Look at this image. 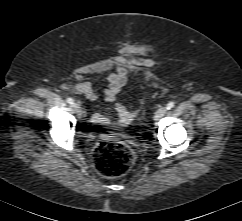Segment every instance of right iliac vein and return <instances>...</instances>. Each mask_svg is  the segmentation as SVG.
I'll return each instance as SVG.
<instances>
[{"mask_svg":"<svg viewBox=\"0 0 242 221\" xmlns=\"http://www.w3.org/2000/svg\"><path fill=\"white\" fill-rule=\"evenodd\" d=\"M73 108H74V110H75V112L77 113L78 116L81 115V108H80V105L78 103H75L73 105Z\"/></svg>","mask_w":242,"mask_h":221,"instance_id":"63e3f726","label":"right iliac vein"}]
</instances>
